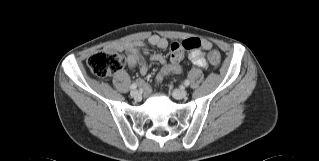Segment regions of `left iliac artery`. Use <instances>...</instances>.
I'll use <instances>...</instances> for the list:
<instances>
[{
	"label": "left iliac artery",
	"mask_w": 319,
	"mask_h": 161,
	"mask_svg": "<svg viewBox=\"0 0 319 161\" xmlns=\"http://www.w3.org/2000/svg\"><path fill=\"white\" fill-rule=\"evenodd\" d=\"M189 84H190V81L189 80H185L184 81V85L187 87V86H189Z\"/></svg>",
	"instance_id": "left-iliac-artery-1"
}]
</instances>
